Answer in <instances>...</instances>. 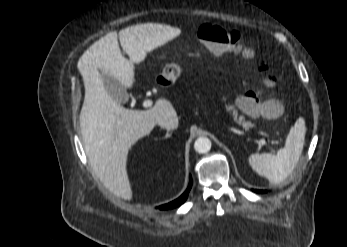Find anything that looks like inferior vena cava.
<instances>
[{"label":"inferior vena cava","instance_id":"1","mask_svg":"<svg viewBox=\"0 0 347 247\" xmlns=\"http://www.w3.org/2000/svg\"><path fill=\"white\" fill-rule=\"evenodd\" d=\"M157 124L166 130H174L178 127V119L171 115H165L157 120Z\"/></svg>","mask_w":347,"mask_h":247}]
</instances>
